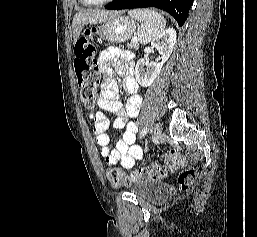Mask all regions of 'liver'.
<instances>
[{"label": "liver", "mask_w": 257, "mask_h": 237, "mask_svg": "<svg viewBox=\"0 0 257 237\" xmlns=\"http://www.w3.org/2000/svg\"><path fill=\"white\" fill-rule=\"evenodd\" d=\"M119 14L120 13L118 12H110L104 10H87L78 12L75 14L72 21L74 43L79 38L80 33L85 25L100 23L106 21L110 17Z\"/></svg>", "instance_id": "liver-1"}]
</instances>
